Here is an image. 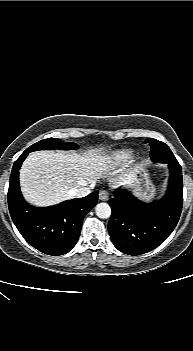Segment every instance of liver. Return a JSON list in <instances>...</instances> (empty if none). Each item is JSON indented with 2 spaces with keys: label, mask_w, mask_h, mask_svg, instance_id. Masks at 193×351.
<instances>
[{
  "label": "liver",
  "mask_w": 193,
  "mask_h": 351,
  "mask_svg": "<svg viewBox=\"0 0 193 351\" xmlns=\"http://www.w3.org/2000/svg\"><path fill=\"white\" fill-rule=\"evenodd\" d=\"M109 158L98 149L84 154L54 151L30 153L20 170V185L27 201L37 206L58 204L73 196L70 190L95 186L111 170ZM133 178L121 174L111 179L113 187L130 184Z\"/></svg>",
  "instance_id": "liver-1"
}]
</instances>
